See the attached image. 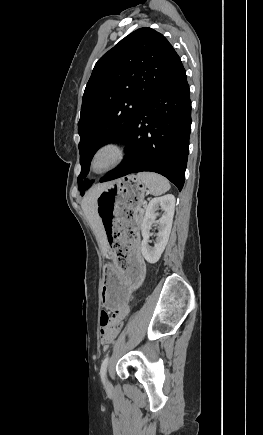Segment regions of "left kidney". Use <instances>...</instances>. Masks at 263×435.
<instances>
[{"mask_svg": "<svg viewBox=\"0 0 263 435\" xmlns=\"http://www.w3.org/2000/svg\"><path fill=\"white\" fill-rule=\"evenodd\" d=\"M159 207H161L163 210V214L159 220H156V216L158 215L156 211L159 209ZM174 209L175 197L172 194L153 198L146 207L145 216L141 225L143 237L141 243V252L145 260L150 264H154L160 259L167 245L172 228ZM153 224L158 225V233L154 246L151 247L148 245V242L150 237V229Z\"/></svg>", "mask_w": 263, "mask_h": 435, "instance_id": "5707ae66", "label": "left kidney"}]
</instances>
